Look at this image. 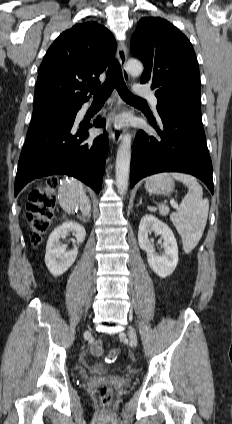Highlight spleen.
<instances>
[{"instance_id":"spleen-1","label":"spleen","mask_w":232,"mask_h":424,"mask_svg":"<svg viewBox=\"0 0 232 424\" xmlns=\"http://www.w3.org/2000/svg\"><path fill=\"white\" fill-rule=\"evenodd\" d=\"M170 176L188 187V193L182 199L180 208L170 215L181 236L184 252L188 254L196 247L204 232L209 201L203 199V189L193 176L184 173H171ZM158 208L163 216L169 213V207L164 204H159Z\"/></svg>"}]
</instances>
